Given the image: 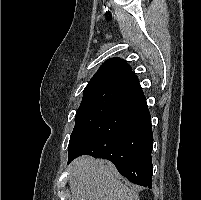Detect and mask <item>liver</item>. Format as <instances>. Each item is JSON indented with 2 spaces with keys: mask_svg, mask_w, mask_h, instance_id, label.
<instances>
[{
  "mask_svg": "<svg viewBox=\"0 0 201 200\" xmlns=\"http://www.w3.org/2000/svg\"><path fill=\"white\" fill-rule=\"evenodd\" d=\"M71 200H140L118 178L112 163L82 156L69 169Z\"/></svg>",
  "mask_w": 201,
  "mask_h": 200,
  "instance_id": "liver-1",
  "label": "liver"
}]
</instances>
